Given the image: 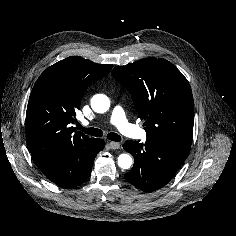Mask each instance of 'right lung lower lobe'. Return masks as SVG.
Masks as SVG:
<instances>
[{"mask_svg":"<svg viewBox=\"0 0 236 236\" xmlns=\"http://www.w3.org/2000/svg\"><path fill=\"white\" fill-rule=\"evenodd\" d=\"M104 148L102 139L88 145L74 147L65 153L38 163L46 177L62 188H72L91 174L95 156Z\"/></svg>","mask_w":236,"mask_h":236,"instance_id":"obj_1","label":"right lung lower lobe"}]
</instances>
